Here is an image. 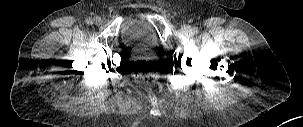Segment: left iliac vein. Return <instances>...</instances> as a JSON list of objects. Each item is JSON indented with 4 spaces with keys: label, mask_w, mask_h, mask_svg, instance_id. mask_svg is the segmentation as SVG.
Segmentation results:
<instances>
[{
    "label": "left iliac vein",
    "mask_w": 303,
    "mask_h": 127,
    "mask_svg": "<svg viewBox=\"0 0 303 127\" xmlns=\"http://www.w3.org/2000/svg\"><path fill=\"white\" fill-rule=\"evenodd\" d=\"M181 31L185 34H190L192 33V28L189 25H183Z\"/></svg>",
    "instance_id": "obj_1"
}]
</instances>
